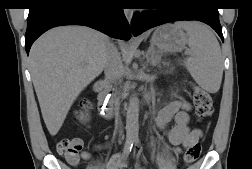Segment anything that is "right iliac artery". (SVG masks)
Returning <instances> with one entry per match:
<instances>
[{"mask_svg":"<svg viewBox=\"0 0 252 169\" xmlns=\"http://www.w3.org/2000/svg\"><path fill=\"white\" fill-rule=\"evenodd\" d=\"M133 146L132 140H127L123 149V155L128 156Z\"/></svg>","mask_w":252,"mask_h":169,"instance_id":"1","label":"right iliac artery"}]
</instances>
